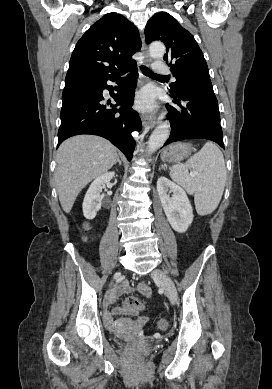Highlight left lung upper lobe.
Returning <instances> with one entry per match:
<instances>
[{
  "label": "left lung upper lobe",
  "mask_w": 272,
  "mask_h": 389,
  "mask_svg": "<svg viewBox=\"0 0 272 389\" xmlns=\"http://www.w3.org/2000/svg\"><path fill=\"white\" fill-rule=\"evenodd\" d=\"M145 40L148 44L161 40L166 46L164 60L176 77L169 92L177 93L184 84L211 83L207 63L193 35L170 14L158 13L149 19Z\"/></svg>",
  "instance_id": "left-lung-upper-lobe-1"
}]
</instances>
